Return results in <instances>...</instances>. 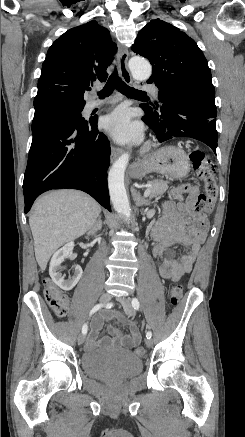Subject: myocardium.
Returning a JSON list of instances; mask_svg holds the SVG:
<instances>
[{"instance_id":"f54148a6","label":"myocardium","mask_w":245,"mask_h":437,"mask_svg":"<svg viewBox=\"0 0 245 437\" xmlns=\"http://www.w3.org/2000/svg\"><path fill=\"white\" fill-rule=\"evenodd\" d=\"M152 147V143L151 142H147L144 146V151H148L150 148Z\"/></svg>"}]
</instances>
